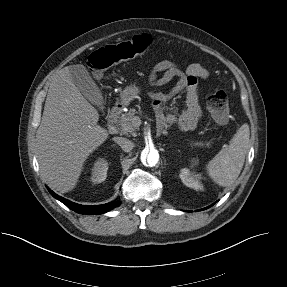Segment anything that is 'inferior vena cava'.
Returning <instances> with one entry per match:
<instances>
[{"label":"inferior vena cava","mask_w":287,"mask_h":287,"mask_svg":"<svg viewBox=\"0 0 287 287\" xmlns=\"http://www.w3.org/2000/svg\"><path fill=\"white\" fill-rule=\"evenodd\" d=\"M114 142H116L125 152H130L133 147L134 144L132 141L126 139V138H122V137H114L113 138Z\"/></svg>","instance_id":"inferior-vena-cava-1"}]
</instances>
